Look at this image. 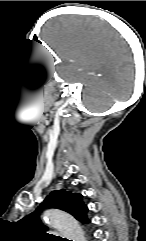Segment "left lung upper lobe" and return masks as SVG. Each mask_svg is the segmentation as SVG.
I'll use <instances>...</instances> for the list:
<instances>
[{
  "mask_svg": "<svg viewBox=\"0 0 146 241\" xmlns=\"http://www.w3.org/2000/svg\"><path fill=\"white\" fill-rule=\"evenodd\" d=\"M48 208H57L66 211L82 223L89 221L87 218L88 208L82 201V195L62 189L53 191L46 197L33 213L20 220L21 225L25 229L36 232L45 238L56 239V237H52V235H48L45 232L48 228L40 220V213Z\"/></svg>",
  "mask_w": 146,
  "mask_h": 241,
  "instance_id": "1",
  "label": "left lung upper lobe"
}]
</instances>
